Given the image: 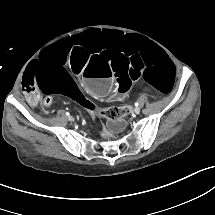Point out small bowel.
Listing matches in <instances>:
<instances>
[{
    "label": "small bowel",
    "instance_id": "1",
    "mask_svg": "<svg viewBox=\"0 0 215 215\" xmlns=\"http://www.w3.org/2000/svg\"><path fill=\"white\" fill-rule=\"evenodd\" d=\"M113 97H114V99H115L116 101H121V100L123 99V95L120 94V93H114ZM76 101H77V99H76ZM29 103H30V105H32V106H36V105L38 104V97L35 96V95L30 96V97H29ZM77 103H78V102H77Z\"/></svg>",
    "mask_w": 215,
    "mask_h": 215
}]
</instances>
